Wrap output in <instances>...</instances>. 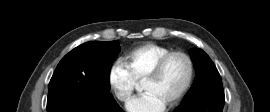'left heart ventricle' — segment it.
<instances>
[{
  "label": "left heart ventricle",
  "mask_w": 270,
  "mask_h": 112,
  "mask_svg": "<svg viewBox=\"0 0 270 112\" xmlns=\"http://www.w3.org/2000/svg\"><path fill=\"white\" fill-rule=\"evenodd\" d=\"M188 71L187 61L181 56H174L169 60L158 79L143 84V90L145 93L156 94L168 104L183 88Z\"/></svg>",
  "instance_id": "1"
}]
</instances>
